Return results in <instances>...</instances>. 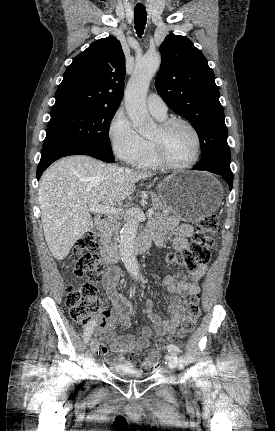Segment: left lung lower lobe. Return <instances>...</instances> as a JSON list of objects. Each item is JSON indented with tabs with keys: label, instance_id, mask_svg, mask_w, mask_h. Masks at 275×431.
<instances>
[{
	"label": "left lung lower lobe",
	"instance_id": "left-lung-lower-lobe-1",
	"mask_svg": "<svg viewBox=\"0 0 275 431\" xmlns=\"http://www.w3.org/2000/svg\"><path fill=\"white\" fill-rule=\"evenodd\" d=\"M195 170H206L214 174L221 175L223 179L228 183L230 190L233 186V174L230 168H217V167H199L194 166Z\"/></svg>",
	"mask_w": 275,
	"mask_h": 431
}]
</instances>
